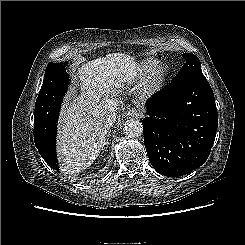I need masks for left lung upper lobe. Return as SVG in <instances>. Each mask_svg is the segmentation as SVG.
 I'll return each mask as SVG.
<instances>
[{
    "label": "left lung upper lobe",
    "mask_w": 245,
    "mask_h": 245,
    "mask_svg": "<svg viewBox=\"0 0 245 245\" xmlns=\"http://www.w3.org/2000/svg\"><path fill=\"white\" fill-rule=\"evenodd\" d=\"M183 58L185 59V64L183 65L179 74L172 80L171 85L177 84L194 76L203 75L201 63L197 56L191 53H184Z\"/></svg>",
    "instance_id": "1"
}]
</instances>
